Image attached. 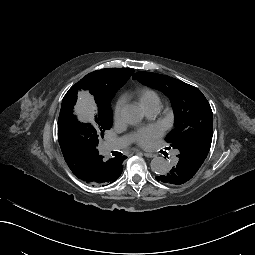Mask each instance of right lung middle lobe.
<instances>
[{"instance_id": "obj_1", "label": "right lung middle lobe", "mask_w": 255, "mask_h": 255, "mask_svg": "<svg viewBox=\"0 0 255 255\" xmlns=\"http://www.w3.org/2000/svg\"><path fill=\"white\" fill-rule=\"evenodd\" d=\"M112 108L110 103L98 107L94 125L78 121L73 106H61L58 120V140L60 147L73 148L76 152H87L98 146L99 139L112 126Z\"/></svg>"}]
</instances>
